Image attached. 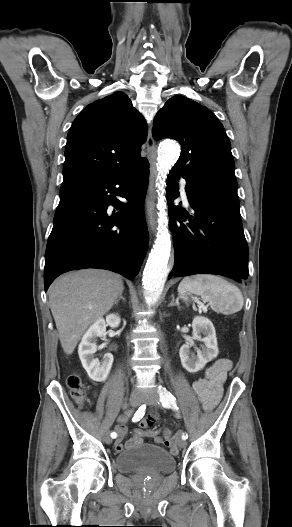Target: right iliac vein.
I'll return each instance as SVG.
<instances>
[{
	"label": "right iliac vein",
	"instance_id": "1",
	"mask_svg": "<svg viewBox=\"0 0 292 527\" xmlns=\"http://www.w3.org/2000/svg\"><path fill=\"white\" fill-rule=\"evenodd\" d=\"M140 402H141V395L138 392L132 393L131 396H130V399H129L130 405L132 407H137V406H139ZM105 442L107 444H111L112 443V438L108 434L105 437Z\"/></svg>",
	"mask_w": 292,
	"mask_h": 527
}]
</instances>
